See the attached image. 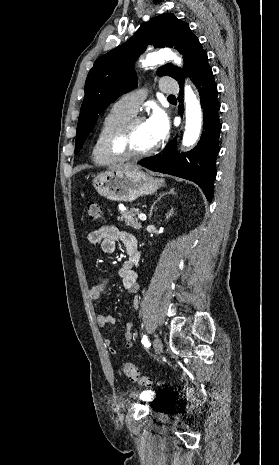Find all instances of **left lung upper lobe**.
Returning a JSON list of instances; mask_svg holds the SVG:
<instances>
[{"label": "left lung upper lobe", "mask_w": 279, "mask_h": 465, "mask_svg": "<svg viewBox=\"0 0 279 465\" xmlns=\"http://www.w3.org/2000/svg\"><path fill=\"white\" fill-rule=\"evenodd\" d=\"M149 44L157 48L175 47L182 53L184 70L168 63L157 71L159 76L169 75L178 82L184 80L183 73L191 74L199 58L206 52L187 23L172 13H165L142 24L130 40L99 57L86 79L85 97L77 125L75 153L82 148L85 138L98 119V114L121 94L136 87L137 76L133 64Z\"/></svg>", "instance_id": "left-lung-upper-lobe-1"}]
</instances>
